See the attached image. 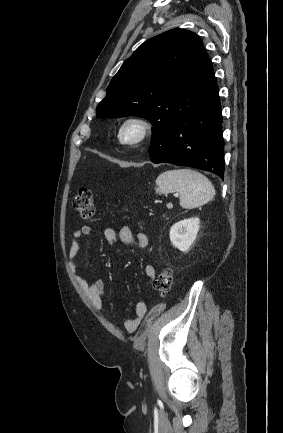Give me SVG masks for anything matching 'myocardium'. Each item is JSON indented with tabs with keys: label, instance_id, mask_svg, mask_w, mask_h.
<instances>
[{
	"label": "myocardium",
	"instance_id": "1",
	"mask_svg": "<svg viewBox=\"0 0 283 433\" xmlns=\"http://www.w3.org/2000/svg\"><path fill=\"white\" fill-rule=\"evenodd\" d=\"M129 125H136L139 127V134L131 139H124L122 136L123 130ZM154 123L153 121L142 115H132L126 117L117 128V140L126 147H137L147 142L153 135Z\"/></svg>",
	"mask_w": 283,
	"mask_h": 433
}]
</instances>
